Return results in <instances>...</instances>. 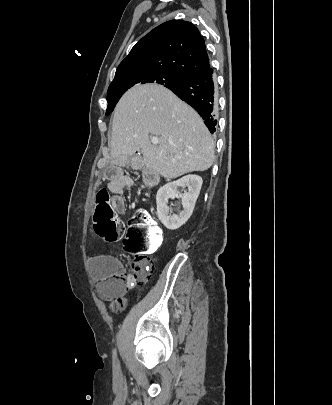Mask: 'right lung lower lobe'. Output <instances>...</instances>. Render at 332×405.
<instances>
[{"instance_id": "1", "label": "right lung lower lobe", "mask_w": 332, "mask_h": 405, "mask_svg": "<svg viewBox=\"0 0 332 405\" xmlns=\"http://www.w3.org/2000/svg\"><path fill=\"white\" fill-rule=\"evenodd\" d=\"M167 88L200 114L211 133L216 131L217 83L210 64Z\"/></svg>"}]
</instances>
